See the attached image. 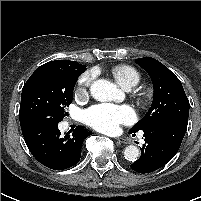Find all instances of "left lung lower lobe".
Wrapping results in <instances>:
<instances>
[{
  "label": "left lung lower lobe",
  "instance_id": "left-lung-lower-lobe-1",
  "mask_svg": "<svg viewBox=\"0 0 201 201\" xmlns=\"http://www.w3.org/2000/svg\"><path fill=\"white\" fill-rule=\"evenodd\" d=\"M188 119L166 118L143 129L145 144L139 160L130 167L138 173H149L168 163L180 148Z\"/></svg>",
  "mask_w": 201,
  "mask_h": 201
}]
</instances>
